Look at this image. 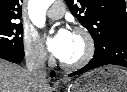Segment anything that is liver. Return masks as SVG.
Listing matches in <instances>:
<instances>
[{
  "mask_svg": "<svg viewBox=\"0 0 127 92\" xmlns=\"http://www.w3.org/2000/svg\"><path fill=\"white\" fill-rule=\"evenodd\" d=\"M0 92H52L49 83L40 82L27 69L0 59Z\"/></svg>",
  "mask_w": 127,
  "mask_h": 92,
  "instance_id": "6515ba94",
  "label": "liver"
}]
</instances>
